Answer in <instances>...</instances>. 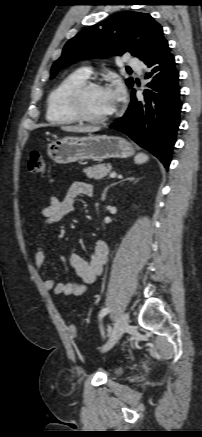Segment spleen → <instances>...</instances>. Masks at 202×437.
<instances>
[{
    "label": "spleen",
    "mask_w": 202,
    "mask_h": 437,
    "mask_svg": "<svg viewBox=\"0 0 202 437\" xmlns=\"http://www.w3.org/2000/svg\"><path fill=\"white\" fill-rule=\"evenodd\" d=\"M149 160L148 155L144 154V153H139L136 157H135V163L136 164H143L145 162H147Z\"/></svg>",
    "instance_id": "obj_1"
}]
</instances>
